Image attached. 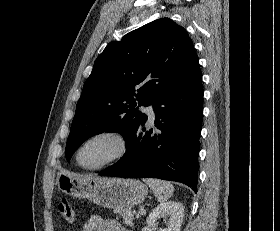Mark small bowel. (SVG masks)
Here are the masks:
<instances>
[{
	"label": "small bowel",
	"mask_w": 280,
	"mask_h": 231,
	"mask_svg": "<svg viewBox=\"0 0 280 231\" xmlns=\"http://www.w3.org/2000/svg\"><path fill=\"white\" fill-rule=\"evenodd\" d=\"M81 231H127V229L114 219H103L95 215L83 224Z\"/></svg>",
	"instance_id": "small-bowel-1"
}]
</instances>
